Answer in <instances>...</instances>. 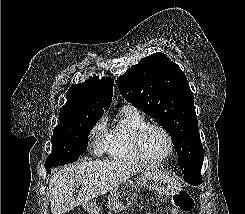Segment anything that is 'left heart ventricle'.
<instances>
[{"label":"left heart ventricle","mask_w":245,"mask_h":214,"mask_svg":"<svg viewBox=\"0 0 245 214\" xmlns=\"http://www.w3.org/2000/svg\"><path fill=\"white\" fill-rule=\"evenodd\" d=\"M144 151L148 158L157 160L168 152V141L166 136L157 129H150L143 141Z\"/></svg>","instance_id":"b2bd125f"}]
</instances>
